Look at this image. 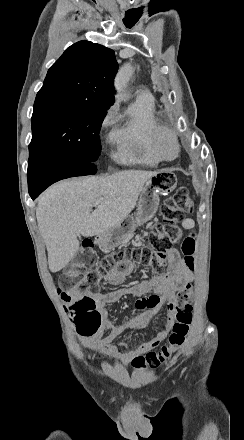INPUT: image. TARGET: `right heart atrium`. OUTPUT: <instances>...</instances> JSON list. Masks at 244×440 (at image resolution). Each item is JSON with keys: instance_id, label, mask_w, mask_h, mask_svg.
Instances as JSON below:
<instances>
[{"instance_id": "d8ad5b80", "label": "right heart atrium", "mask_w": 244, "mask_h": 440, "mask_svg": "<svg viewBox=\"0 0 244 440\" xmlns=\"http://www.w3.org/2000/svg\"><path fill=\"white\" fill-rule=\"evenodd\" d=\"M116 113H117V106L116 104H113L112 106H110V108L106 111V113L101 119L100 125L102 129H107L115 123Z\"/></svg>"}]
</instances>
